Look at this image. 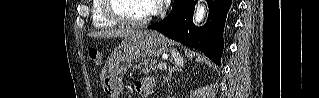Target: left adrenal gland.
I'll return each mask as SVG.
<instances>
[{
    "label": "left adrenal gland",
    "instance_id": "a2214340",
    "mask_svg": "<svg viewBox=\"0 0 319 98\" xmlns=\"http://www.w3.org/2000/svg\"><path fill=\"white\" fill-rule=\"evenodd\" d=\"M174 72H175V67L169 68L167 75L163 78L162 84H165L166 82H168V80H171Z\"/></svg>",
    "mask_w": 319,
    "mask_h": 98
}]
</instances>
